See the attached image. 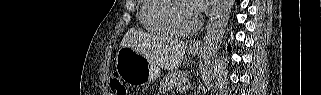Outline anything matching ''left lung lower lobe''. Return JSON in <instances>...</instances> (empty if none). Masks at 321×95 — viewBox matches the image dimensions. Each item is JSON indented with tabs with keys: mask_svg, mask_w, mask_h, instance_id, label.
Masks as SVG:
<instances>
[{
	"mask_svg": "<svg viewBox=\"0 0 321 95\" xmlns=\"http://www.w3.org/2000/svg\"><path fill=\"white\" fill-rule=\"evenodd\" d=\"M237 4H239V0H237ZM228 50L231 51V47H228Z\"/></svg>",
	"mask_w": 321,
	"mask_h": 95,
	"instance_id": "left-lung-lower-lobe-1",
	"label": "left lung lower lobe"
}]
</instances>
